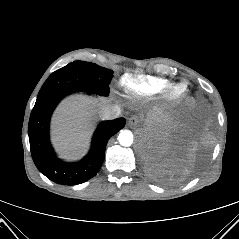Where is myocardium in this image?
I'll return each instance as SVG.
<instances>
[{"mask_svg":"<svg viewBox=\"0 0 239 239\" xmlns=\"http://www.w3.org/2000/svg\"><path fill=\"white\" fill-rule=\"evenodd\" d=\"M188 87L183 82H178L170 85L163 93L162 99L167 104H176L186 96Z\"/></svg>","mask_w":239,"mask_h":239,"instance_id":"f54148a6","label":"myocardium"}]
</instances>
